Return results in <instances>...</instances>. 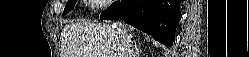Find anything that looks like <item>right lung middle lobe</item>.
I'll list each match as a JSON object with an SVG mask.
<instances>
[{"label":"right lung middle lobe","mask_w":249,"mask_h":57,"mask_svg":"<svg viewBox=\"0 0 249 57\" xmlns=\"http://www.w3.org/2000/svg\"><path fill=\"white\" fill-rule=\"evenodd\" d=\"M75 3H76V0L68 1L63 11V15L67 14L70 10H72L74 8Z\"/></svg>","instance_id":"obj_1"}]
</instances>
